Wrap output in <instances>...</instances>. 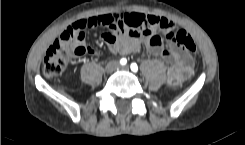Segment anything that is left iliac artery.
Instances as JSON below:
<instances>
[{
  "label": "left iliac artery",
  "instance_id": "44dca946",
  "mask_svg": "<svg viewBox=\"0 0 245 145\" xmlns=\"http://www.w3.org/2000/svg\"><path fill=\"white\" fill-rule=\"evenodd\" d=\"M130 68H131V70H132L133 72H137V71H138V66H137L136 63H132L131 66H130Z\"/></svg>",
  "mask_w": 245,
  "mask_h": 145
}]
</instances>
